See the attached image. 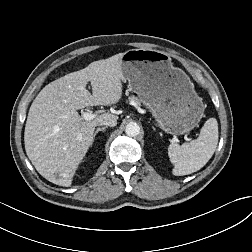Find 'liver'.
Wrapping results in <instances>:
<instances>
[{
  "label": "liver",
  "mask_w": 252,
  "mask_h": 252,
  "mask_svg": "<svg viewBox=\"0 0 252 252\" xmlns=\"http://www.w3.org/2000/svg\"><path fill=\"white\" fill-rule=\"evenodd\" d=\"M122 53L94 61L46 85L33 101L24 132L25 150L38 173L48 181L70 187L75 172L93 143L95 127L118 116L102 113L92 120L77 110L111 106L122 98ZM91 83V94L87 83Z\"/></svg>",
  "instance_id": "obj_1"
}]
</instances>
